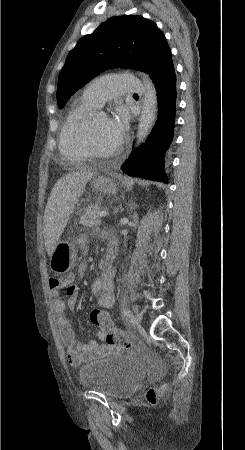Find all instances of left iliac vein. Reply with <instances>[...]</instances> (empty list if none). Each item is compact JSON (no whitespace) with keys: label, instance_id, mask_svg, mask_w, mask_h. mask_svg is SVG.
Returning a JSON list of instances; mask_svg holds the SVG:
<instances>
[{"label":"left iliac vein","instance_id":"obj_1","mask_svg":"<svg viewBox=\"0 0 245 450\" xmlns=\"http://www.w3.org/2000/svg\"><path fill=\"white\" fill-rule=\"evenodd\" d=\"M133 320H134V322H135L136 324H139V323L141 322V320H142V314L139 313V312H137V313L134 315Z\"/></svg>","mask_w":245,"mask_h":450}]
</instances>
